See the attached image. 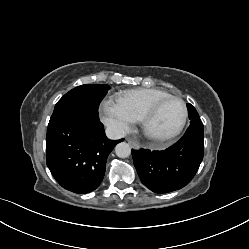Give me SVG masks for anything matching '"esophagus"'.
I'll use <instances>...</instances> for the list:
<instances>
[{"instance_id":"esophagus-1","label":"esophagus","mask_w":249,"mask_h":249,"mask_svg":"<svg viewBox=\"0 0 249 249\" xmlns=\"http://www.w3.org/2000/svg\"><path fill=\"white\" fill-rule=\"evenodd\" d=\"M127 142L135 149H138L140 146L137 142L131 140V139H127Z\"/></svg>"}]
</instances>
